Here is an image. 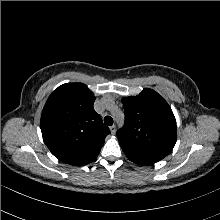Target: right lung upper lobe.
Segmentation results:
<instances>
[{
	"mask_svg": "<svg viewBox=\"0 0 220 220\" xmlns=\"http://www.w3.org/2000/svg\"><path fill=\"white\" fill-rule=\"evenodd\" d=\"M95 96L82 83L59 86L41 115L43 140L60 161L82 166L94 161L110 130L93 108Z\"/></svg>",
	"mask_w": 220,
	"mask_h": 220,
	"instance_id": "1",
	"label": "right lung upper lobe"
}]
</instances>
